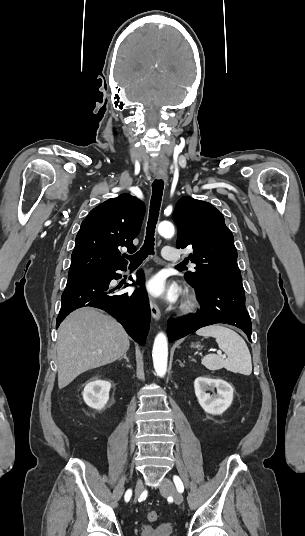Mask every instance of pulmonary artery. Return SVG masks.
<instances>
[{
  "label": "pulmonary artery",
  "instance_id": "obj_1",
  "mask_svg": "<svg viewBox=\"0 0 305 536\" xmlns=\"http://www.w3.org/2000/svg\"><path fill=\"white\" fill-rule=\"evenodd\" d=\"M161 251H162L161 258L163 260H167V262L170 264H173L177 261V256H176L177 250L174 245H169V246L164 245L162 246Z\"/></svg>",
  "mask_w": 305,
  "mask_h": 536
}]
</instances>
